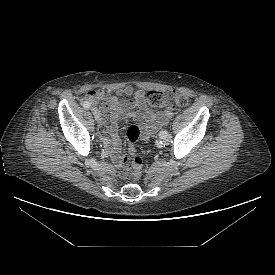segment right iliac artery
<instances>
[{
	"label": "right iliac artery",
	"instance_id": "1",
	"mask_svg": "<svg viewBox=\"0 0 275 275\" xmlns=\"http://www.w3.org/2000/svg\"><path fill=\"white\" fill-rule=\"evenodd\" d=\"M83 107H84L85 109H89V108L91 107V103L88 102V101H85V102H83Z\"/></svg>",
	"mask_w": 275,
	"mask_h": 275
}]
</instances>
